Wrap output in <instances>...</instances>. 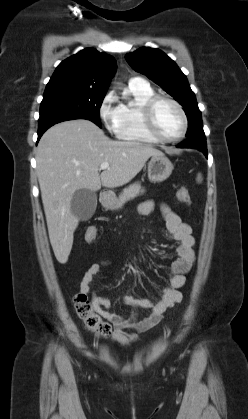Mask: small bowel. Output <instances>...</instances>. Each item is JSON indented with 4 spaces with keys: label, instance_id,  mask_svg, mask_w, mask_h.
Wrapping results in <instances>:
<instances>
[{
    "label": "small bowel",
    "instance_id": "small-bowel-1",
    "mask_svg": "<svg viewBox=\"0 0 248 419\" xmlns=\"http://www.w3.org/2000/svg\"><path fill=\"white\" fill-rule=\"evenodd\" d=\"M154 209V202L147 200L140 205V213L150 214ZM167 231L178 243L177 258L170 265L171 276L169 284L162 288L161 298L157 302L148 299H137L125 296L124 302L128 305L148 310V315L142 319L125 318L110 311L111 301L104 296L93 293L92 303L95 310L113 325L111 340L123 346H129L139 339V334L153 329L161 321L164 312L181 302L180 289L185 285V275L193 268L195 263L194 244L191 228L173 212L167 205L160 207ZM87 241V240H86ZM110 262L104 260L92 264L84 273L80 282V292L86 295L91 293V283L100 270Z\"/></svg>",
    "mask_w": 248,
    "mask_h": 419
}]
</instances>
